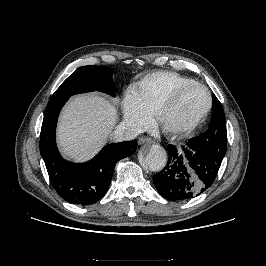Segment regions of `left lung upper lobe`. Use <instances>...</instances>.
Returning <instances> with one entry per match:
<instances>
[{
  "label": "left lung upper lobe",
  "mask_w": 266,
  "mask_h": 266,
  "mask_svg": "<svg viewBox=\"0 0 266 266\" xmlns=\"http://www.w3.org/2000/svg\"><path fill=\"white\" fill-rule=\"evenodd\" d=\"M212 101L210 128L203 135L190 139L208 152H213L215 150L214 147L218 148V143L222 146H227V131L223 108L214 94L212 95Z\"/></svg>",
  "instance_id": "obj_1"
}]
</instances>
